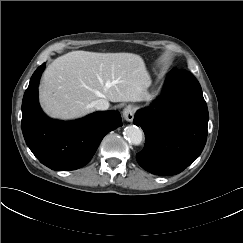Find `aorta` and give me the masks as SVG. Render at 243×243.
Returning <instances> with one entry per match:
<instances>
[{
    "label": "aorta",
    "mask_w": 243,
    "mask_h": 243,
    "mask_svg": "<svg viewBox=\"0 0 243 243\" xmlns=\"http://www.w3.org/2000/svg\"><path fill=\"white\" fill-rule=\"evenodd\" d=\"M123 134L125 139L133 145H140L143 140V131L135 125L127 126Z\"/></svg>",
    "instance_id": "762f6f07"
}]
</instances>
